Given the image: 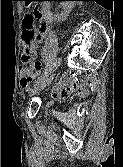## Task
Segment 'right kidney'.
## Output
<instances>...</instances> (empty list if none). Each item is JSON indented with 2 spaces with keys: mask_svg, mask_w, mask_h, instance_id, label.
Returning <instances> with one entry per match:
<instances>
[{
  "mask_svg": "<svg viewBox=\"0 0 123 167\" xmlns=\"http://www.w3.org/2000/svg\"><path fill=\"white\" fill-rule=\"evenodd\" d=\"M61 4L63 6V11L60 14H56L52 17L53 20L57 21V22H61V21L66 20V18L68 17V15H69V13L74 5V2H61ZM48 14L52 15L50 13V11H48Z\"/></svg>",
  "mask_w": 123,
  "mask_h": 167,
  "instance_id": "ca27d5eb",
  "label": "right kidney"
}]
</instances>
